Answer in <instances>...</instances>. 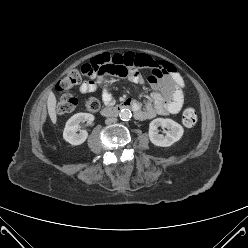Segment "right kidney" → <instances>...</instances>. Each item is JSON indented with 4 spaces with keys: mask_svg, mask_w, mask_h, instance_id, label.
<instances>
[{
    "mask_svg": "<svg viewBox=\"0 0 248 248\" xmlns=\"http://www.w3.org/2000/svg\"><path fill=\"white\" fill-rule=\"evenodd\" d=\"M81 121H87L92 123L94 121V116L89 113H77L74 114L67 122L63 131V138L65 141L69 142L71 145H80L88 137V132L86 130H80L79 123ZM77 133V131H79Z\"/></svg>",
    "mask_w": 248,
    "mask_h": 248,
    "instance_id": "ca27d5eb",
    "label": "right kidney"
}]
</instances>
